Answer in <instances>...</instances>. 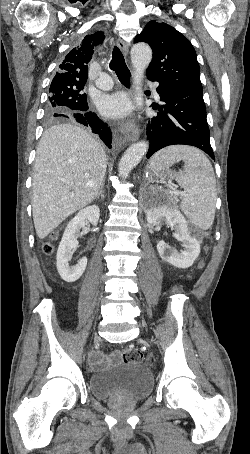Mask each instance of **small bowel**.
<instances>
[{"label": "small bowel", "instance_id": "obj_1", "mask_svg": "<svg viewBox=\"0 0 250 454\" xmlns=\"http://www.w3.org/2000/svg\"><path fill=\"white\" fill-rule=\"evenodd\" d=\"M89 361L95 369L103 367L106 363V359L100 351H92L89 355Z\"/></svg>", "mask_w": 250, "mask_h": 454}]
</instances>
